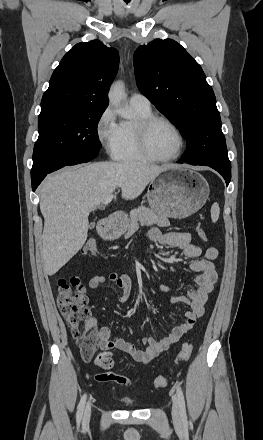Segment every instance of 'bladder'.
I'll return each instance as SVG.
<instances>
[{"label": "bladder", "mask_w": 263, "mask_h": 440, "mask_svg": "<svg viewBox=\"0 0 263 440\" xmlns=\"http://www.w3.org/2000/svg\"><path fill=\"white\" fill-rule=\"evenodd\" d=\"M124 404L128 405V406H134L136 403L132 400H125Z\"/></svg>", "instance_id": "bladder-1"}]
</instances>
